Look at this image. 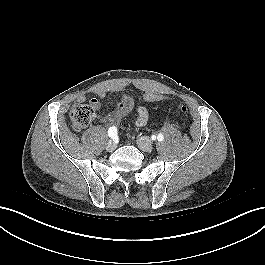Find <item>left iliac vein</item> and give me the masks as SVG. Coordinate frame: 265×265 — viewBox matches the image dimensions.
<instances>
[{"instance_id": "obj_1", "label": "left iliac vein", "mask_w": 265, "mask_h": 265, "mask_svg": "<svg viewBox=\"0 0 265 265\" xmlns=\"http://www.w3.org/2000/svg\"><path fill=\"white\" fill-rule=\"evenodd\" d=\"M138 147L144 152H151L153 149L152 141L147 137H141L137 140Z\"/></svg>"}]
</instances>
